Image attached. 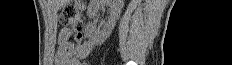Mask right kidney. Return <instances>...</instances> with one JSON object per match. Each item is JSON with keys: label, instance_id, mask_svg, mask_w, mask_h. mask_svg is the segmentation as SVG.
I'll use <instances>...</instances> for the list:
<instances>
[{"label": "right kidney", "instance_id": "obj_1", "mask_svg": "<svg viewBox=\"0 0 232 65\" xmlns=\"http://www.w3.org/2000/svg\"><path fill=\"white\" fill-rule=\"evenodd\" d=\"M105 4L109 6L110 16L108 21L103 25V28L96 29L94 23L90 22L85 28L86 36L97 46L102 45L112 33L124 5L123 0H93L87 10L88 18L94 19L99 10H101Z\"/></svg>", "mask_w": 232, "mask_h": 65}]
</instances>
